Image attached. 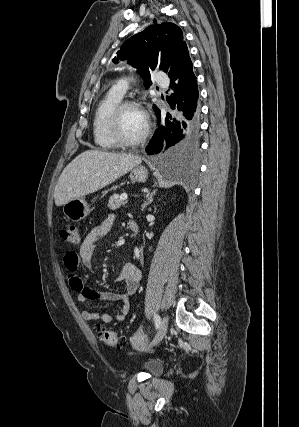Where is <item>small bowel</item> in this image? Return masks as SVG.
<instances>
[{
	"mask_svg": "<svg viewBox=\"0 0 299 427\" xmlns=\"http://www.w3.org/2000/svg\"><path fill=\"white\" fill-rule=\"evenodd\" d=\"M114 220V216H108L88 232L80 246L79 252L69 251L64 255V265L68 272L69 285L78 293V301L81 305H86L90 300L117 301L120 303V310L115 315L88 310L82 311L81 316L86 321H102L104 323L124 321L130 310V298L136 293L140 284L141 272L132 263H125L117 277L119 282L125 284L126 291L124 293L97 291L87 285L78 275V269L81 264L88 269L91 268L95 248L111 231Z\"/></svg>",
	"mask_w": 299,
	"mask_h": 427,
	"instance_id": "c3829d8e",
	"label": "small bowel"
}]
</instances>
